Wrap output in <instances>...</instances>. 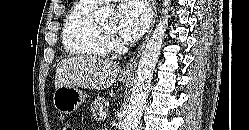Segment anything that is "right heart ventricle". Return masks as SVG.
Returning <instances> with one entry per match:
<instances>
[{
    "instance_id": "1",
    "label": "right heart ventricle",
    "mask_w": 249,
    "mask_h": 130,
    "mask_svg": "<svg viewBox=\"0 0 249 130\" xmlns=\"http://www.w3.org/2000/svg\"><path fill=\"white\" fill-rule=\"evenodd\" d=\"M98 4L93 0H77L71 8L62 29V41L68 54L102 57L108 53L109 45L93 15Z\"/></svg>"
}]
</instances>
